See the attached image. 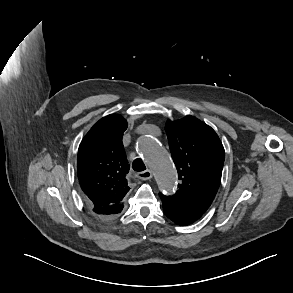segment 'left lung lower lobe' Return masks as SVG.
<instances>
[{"instance_id":"obj_1","label":"left lung lower lobe","mask_w":293,"mask_h":293,"mask_svg":"<svg viewBox=\"0 0 293 293\" xmlns=\"http://www.w3.org/2000/svg\"><path fill=\"white\" fill-rule=\"evenodd\" d=\"M159 196L162 200L164 213L178 225H189L203 215L181 204L172 197L164 196L161 193H159Z\"/></svg>"}]
</instances>
